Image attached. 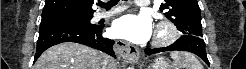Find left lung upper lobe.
Wrapping results in <instances>:
<instances>
[{"mask_svg": "<svg viewBox=\"0 0 246 69\" xmlns=\"http://www.w3.org/2000/svg\"><path fill=\"white\" fill-rule=\"evenodd\" d=\"M160 10L184 35L202 37L201 14L197 0H164Z\"/></svg>", "mask_w": 246, "mask_h": 69, "instance_id": "5c2ea615", "label": "left lung upper lobe"}]
</instances>
